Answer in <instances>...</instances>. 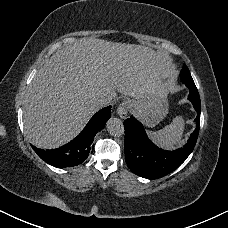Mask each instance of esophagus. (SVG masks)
I'll list each match as a JSON object with an SVG mask.
<instances>
[{"label":"esophagus","mask_w":228,"mask_h":228,"mask_svg":"<svg viewBox=\"0 0 228 228\" xmlns=\"http://www.w3.org/2000/svg\"><path fill=\"white\" fill-rule=\"evenodd\" d=\"M130 109V102L128 100H124L119 106L117 107V114L122 118L125 119L129 114Z\"/></svg>","instance_id":"obj_1"}]
</instances>
